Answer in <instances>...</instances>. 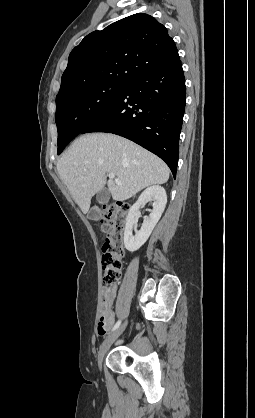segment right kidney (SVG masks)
Returning <instances> with one entry per match:
<instances>
[{"instance_id":"ca27d5eb","label":"right kidney","mask_w":255,"mask_h":418,"mask_svg":"<svg viewBox=\"0 0 255 418\" xmlns=\"http://www.w3.org/2000/svg\"><path fill=\"white\" fill-rule=\"evenodd\" d=\"M149 198H152L154 201L153 210L151 211L149 218L143 221L141 229L137 231V217L140 214L139 209L147 202ZM166 203V191L159 185L150 186L142 192L137 202L130 208L126 217L124 245L128 251L134 252L138 250L147 241L154 227L161 218ZM133 230H135L134 236L132 234Z\"/></svg>"}]
</instances>
